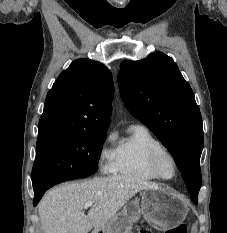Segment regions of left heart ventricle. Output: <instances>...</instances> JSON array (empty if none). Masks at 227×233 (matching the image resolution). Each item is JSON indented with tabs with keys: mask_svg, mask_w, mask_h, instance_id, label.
<instances>
[{
	"mask_svg": "<svg viewBox=\"0 0 227 233\" xmlns=\"http://www.w3.org/2000/svg\"><path fill=\"white\" fill-rule=\"evenodd\" d=\"M161 170L164 175L170 176L173 172V165L171 160L168 157H164L161 160Z\"/></svg>",
	"mask_w": 227,
	"mask_h": 233,
	"instance_id": "b2bd125f",
	"label": "left heart ventricle"
}]
</instances>
